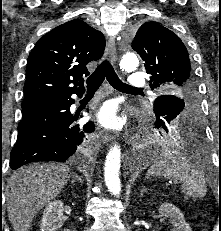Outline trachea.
<instances>
[{"label":"trachea","mask_w":221,"mask_h":231,"mask_svg":"<svg viewBox=\"0 0 221 231\" xmlns=\"http://www.w3.org/2000/svg\"><path fill=\"white\" fill-rule=\"evenodd\" d=\"M105 77L110 85L119 91L141 90L140 88L130 87L123 83L115 73L110 62L107 60L103 61L94 73L86 80L87 90L96 91L104 81Z\"/></svg>","instance_id":"3493384b"}]
</instances>
